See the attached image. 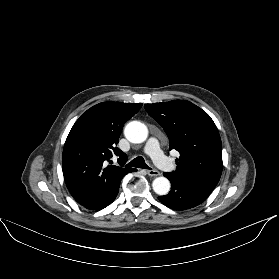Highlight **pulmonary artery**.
I'll return each instance as SVG.
<instances>
[{
	"mask_svg": "<svg viewBox=\"0 0 279 279\" xmlns=\"http://www.w3.org/2000/svg\"><path fill=\"white\" fill-rule=\"evenodd\" d=\"M145 154L150 156L154 163L164 171H172L173 164L164 156L161 151L160 144L157 138H150L144 148Z\"/></svg>",
	"mask_w": 279,
	"mask_h": 279,
	"instance_id": "e3ab8cb5",
	"label": "pulmonary artery"
}]
</instances>
